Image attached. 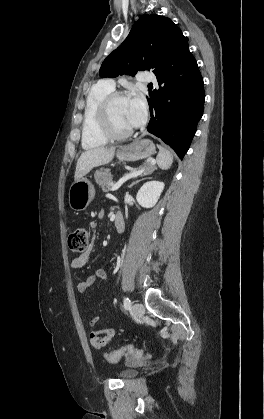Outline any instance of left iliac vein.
I'll return each instance as SVG.
<instances>
[{
	"mask_svg": "<svg viewBox=\"0 0 264 419\" xmlns=\"http://www.w3.org/2000/svg\"><path fill=\"white\" fill-rule=\"evenodd\" d=\"M132 312H133L135 317L139 318V317L143 316V314L145 313L144 306L140 303H135L132 306Z\"/></svg>",
	"mask_w": 264,
	"mask_h": 419,
	"instance_id": "4c4485c4",
	"label": "left iliac vein"
}]
</instances>
